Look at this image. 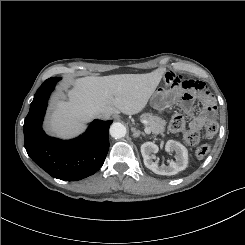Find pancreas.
Listing matches in <instances>:
<instances>
[{"label":"pancreas","instance_id":"pancreas-1","mask_svg":"<svg viewBox=\"0 0 245 245\" xmlns=\"http://www.w3.org/2000/svg\"><path fill=\"white\" fill-rule=\"evenodd\" d=\"M140 120L150 129L152 134H163L165 131L166 122L159 116L145 113L140 116Z\"/></svg>","mask_w":245,"mask_h":245}]
</instances>
